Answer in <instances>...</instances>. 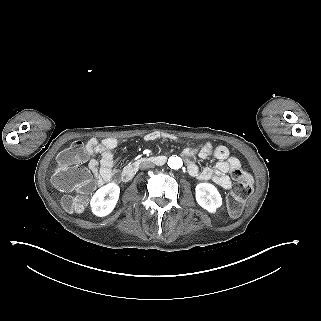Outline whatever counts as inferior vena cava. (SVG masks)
Segmentation results:
<instances>
[{"label":"inferior vena cava","instance_id":"1","mask_svg":"<svg viewBox=\"0 0 321 321\" xmlns=\"http://www.w3.org/2000/svg\"><path fill=\"white\" fill-rule=\"evenodd\" d=\"M140 169L143 170V169H148V168H154L155 167V164L152 163L151 161H143L140 163Z\"/></svg>","mask_w":321,"mask_h":321}]
</instances>
